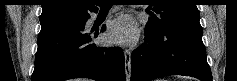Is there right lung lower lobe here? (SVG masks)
I'll use <instances>...</instances> for the list:
<instances>
[{
  "instance_id": "right-lung-lower-lobe-1",
  "label": "right lung lower lobe",
  "mask_w": 237,
  "mask_h": 81,
  "mask_svg": "<svg viewBox=\"0 0 237 81\" xmlns=\"http://www.w3.org/2000/svg\"><path fill=\"white\" fill-rule=\"evenodd\" d=\"M96 12V11H94ZM82 20L41 23L31 81H63L86 77L98 81H125L124 54L119 47H97L95 33L85 31ZM106 29L105 25L102 31Z\"/></svg>"
}]
</instances>
